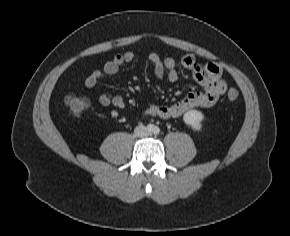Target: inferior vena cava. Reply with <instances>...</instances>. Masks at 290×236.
Returning <instances> with one entry per match:
<instances>
[{
	"instance_id": "inferior-vena-cava-1",
	"label": "inferior vena cava",
	"mask_w": 290,
	"mask_h": 236,
	"mask_svg": "<svg viewBox=\"0 0 290 236\" xmlns=\"http://www.w3.org/2000/svg\"><path fill=\"white\" fill-rule=\"evenodd\" d=\"M134 132H135V135L138 136V137H144V136L148 135L147 128L144 125H142V124L137 126L135 128Z\"/></svg>"
}]
</instances>
